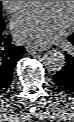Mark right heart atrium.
I'll return each instance as SVG.
<instances>
[{"label":"right heart atrium","instance_id":"obj_1","mask_svg":"<svg viewBox=\"0 0 74 122\" xmlns=\"http://www.w3.org/2000/svg\"><path fill=\"white\" fill-rule=\"evenodd\" d=\"M7 13L10 15L17 14L24 6L25 1H1Z\"/></svg>","mask_w":74,"mask_h":122}]
</instances>
